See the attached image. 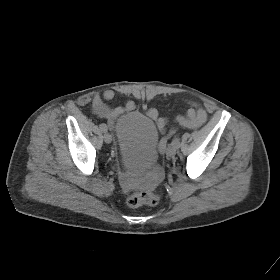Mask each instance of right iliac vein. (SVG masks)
I'll use <instances>...</instances> for the list:
<instances>
[{
    "instance_id": "63e3f726",
    "label": "right iliac vein",
    "mask_w": 280,
    "mask_h": 280,
    "mask_svg": "<svg viewBox=\"0 0 280 280\" xmlns=\"http://www.w3.org/2000/svg\"><path fill=\"white\" fill-rule=\"evenodd\" d=\"M104 141L108 144L111 143L112 142V136L109 133H105L104 134Z\"/></svg>"
}]
</instances>
